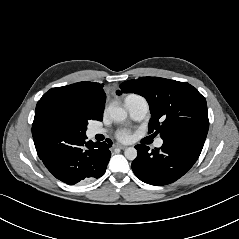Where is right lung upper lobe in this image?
<instances>
[{"label": "right lung upper lobe", "mask_w": 239, "mask_h": 239, "mask_svg": "<svg viewBox=\"0 0 239 239\" xmlns=\"http://www.w3.org/2000/svg\"><path fill=\"white\" fill-rule=\"evenodd\" d=\"M43 98L61 97L84 106L94 120H102L106 95L103 84L78 82L71 85L52 88Z\"/></svg>", "instance_id": "obj_1"}]
</instances>
